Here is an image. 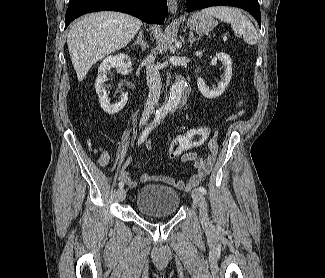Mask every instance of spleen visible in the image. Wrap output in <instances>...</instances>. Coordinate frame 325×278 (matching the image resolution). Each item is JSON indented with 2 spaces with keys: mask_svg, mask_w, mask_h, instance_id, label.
Masks as SVG:
<instances>
[{
  "mask_svg": "<svg viewBox=\"0 0 325 278\" xmlns=\"http://www.w3.org/2000/svg\"><path fill=\"white\" fill-rule=\"evenodd\" d=\"M202 13L214 16L220 21L230 23L233 31L242 34L243 39L247 44H257V31L251 21L243 15L240 10L227 6H217L205 8L202 10Z\"/></svg>",
  "mask_w": 325,
  "mask_h": 278,
  "instance_id": "spleen-1",
  "label": "spleen"
}]
</instances>
